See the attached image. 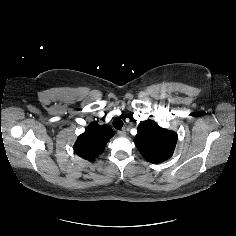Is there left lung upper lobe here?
Instances as JSON below:
<instances>
[{"label":"left lung upper lobe","instance_id":"obj_1","mask_svg":"<svg viewBox=\"0 0 236 236\" xmlns=\"http://www.w3.org/2000/svg\"><path fill=\"white\" fill-rule=\"evenodd\" d=\"M134 142L147 161L160 163L172 156L177 135L173 131L161 128L152 120H146L138 125Z\"/></svg>","mask_w":236,"mask_h":236}]
</instances>
